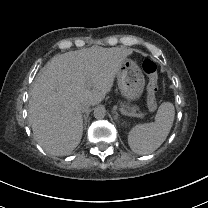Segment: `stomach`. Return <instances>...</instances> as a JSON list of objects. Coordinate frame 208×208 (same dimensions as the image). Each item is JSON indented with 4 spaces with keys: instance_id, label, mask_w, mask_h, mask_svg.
Masks as SVG:
<instances>
[{
    "instance_id": "obj_1",
    "label": "stomach",
    "mask_w": 208,
    "mask_h": 208,
    "mask_svg": "<svg viewBox=\"0 0 208 208\" xmlns=\"http://www.w3.org/2000/svg\"><path fill=\"white\" fill-rule=\"evenodd\" d=\"M116 76L121 94L126 99L135 100L141 96L145 79L140 67L133 60L125 58Z\"/></svg>"
}]
</instances>
